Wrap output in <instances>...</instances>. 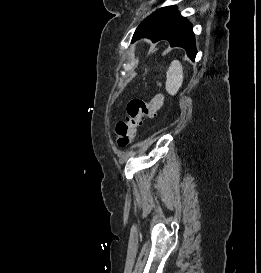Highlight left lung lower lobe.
Returning <instances> with one entry per match:
<instances>
[{
	"mask_svg": "<svg viewBox=\"0 0 261 273\" xmlns=\"http://www.w3.org/2000/svg\"><path fill=\"white\" fill-rule=\"evenodd\" d=\"M150 38L153 42L165 39L171 47H182L188 57L195 60L197 50L192 25L182 17L174 6L158 9L147 17L136 29L133 41Z\"/></svg>",
	"mask_w": 261,
	"mask_h": 273,
	"instance_id": "1",
	"label": "left lung lower lobe"
}]
</instances>
